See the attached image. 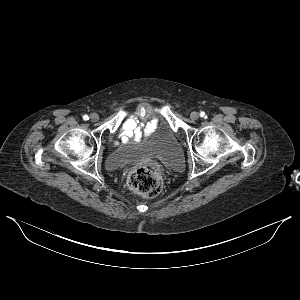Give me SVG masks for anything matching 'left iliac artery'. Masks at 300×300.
<instances>
[{"label":"left iliac artery","mask_w":300,"mask_h":300,"mask_svg":"<svg viewBox=\"0 0 300 300\" xmlns=\"http://www.w3.org/2000/svg\"><path fill=\"white\" fill-rule=\"evenodd\" d=\"M200 116H201V117H205V116H206V115H205V112H201V113H200Z\"/></svg>","instance_id":"1"}]
</instances>
